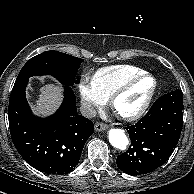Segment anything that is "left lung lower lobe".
<instances>
[{
    "mask_svg": "<svg viewBox=\"0 0 194 194\" xmlns=\"http://www.w3.org/2000/svg\"><path fill=\"white\" fill-rule=\"evenodd\" d=\"M182 125V91L158 98L142 119L126 127L131 145L117 157L119 169L129 175H141L162 166L177 145Z\"/></svg>",
    "mask_w": 194,
    "mask_h": 194,
    "instance_id": "obj_1",
    "label": "left lung lower lobe"
}]
</instances>
